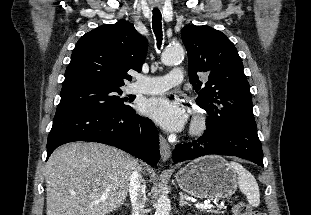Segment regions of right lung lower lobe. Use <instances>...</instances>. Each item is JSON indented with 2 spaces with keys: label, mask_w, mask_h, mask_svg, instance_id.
Returning <instances> with one entry per match:
<instances>
[{
  "label": "right lung lower lobe",
  "mask_w": 311,
  "mask_h": 215,
  "mask_svg": "<svg viewBox=\"0 0 311 215\" xmlns=\"http://www.w3.org/2000/svg\"><path fill=\"white\" fill-rule=\"evenodd\" d=\"M73 141L104 143L122 149L154 166L160 158L154 123L136 111L105 113L87 109L56 112L48 136L47 159L60 145Z\"/></svg>",
  "instance_id": "obj_1"
}]
</instances>
